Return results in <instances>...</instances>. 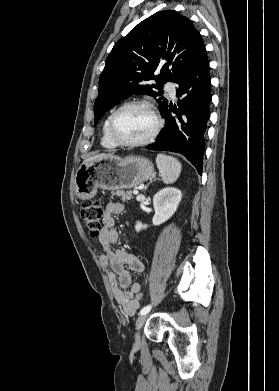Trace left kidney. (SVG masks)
Segmentation results:
<instances>
[{
    "mask_svg": "<svg viewBox=\"0 0 279 391\" xmlns=\"http://www.w3.org/2000/svg\"><path fill=\"white\" fill-rule=\"evenodd\" d=\"M182 193L174 187H166L157 192L153 197V207L155 214L153 216V225L157 226L167 221L177 210L181 201ZM147 225L137 222L135 229L139 232L146 229Z\"/></svg>",
    "mask_w": 279,
    "mask_h": 391,
    "instance_id": "1",
    "label": "left kidney"
}]
</instances>
